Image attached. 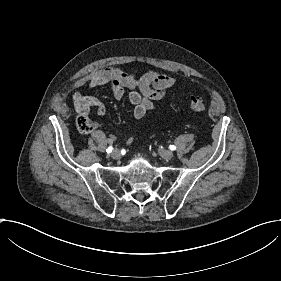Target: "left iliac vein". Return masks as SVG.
Listing matches in <instances>:
<instances>
[{
    "instance_id": "obj_1",
    "label": "left iliac vein",
    "mask_w": 281,
    "mask_h": 281,
    "mask_svg": "<svg viewBox=\"0 0 281 281\" xmlns=\"http://www.w3.org/2000/svg\"><path fill=\"white\" fill-rule=\"evenodd\" d=\"M160 153H161V155H163V157L165 158V159H170L171 157H172V152L170 151V150H158Z\"/></svg>"
}]
</instances>
